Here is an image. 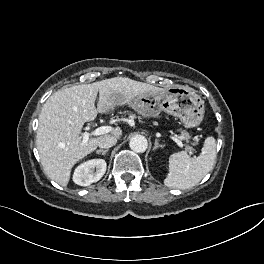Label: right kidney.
Masks as SVG:
<instances>
[{
	"label": "right kidney",
	"mask_w": 264,
	"mask_h": 264,
	"mask_svg": "<svg viewBox=\"0 0 264 264\" xmlns=\"http://www.w3.org/2000/svg\"><path fill=\"white\" fill-rule=\"evenodd\" d=\"M104 159H92L80 164L74 171L73 181L80 186H89L99 181L106 172Z\"/></svg>",
	"instance_id": "1"
}]
</instances>
